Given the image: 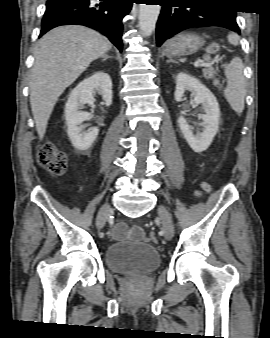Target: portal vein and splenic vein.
<instances>
[{"label":"portal vein and splenic vein","mask_w":270,"mask_h":338,"mask_svg":"<svg viewBox=\"0 0 270 338\" xmlns=\"http://www.w3.org/2000/svg\"><path fill=\"white\" fill-rule=\"evenodd\" d=\"M205 64H202L200 60H197L195 63H194V66L195 67H199V66H204Z\"/></svg>","instance_id":"18ae733b"}]
</instances>
